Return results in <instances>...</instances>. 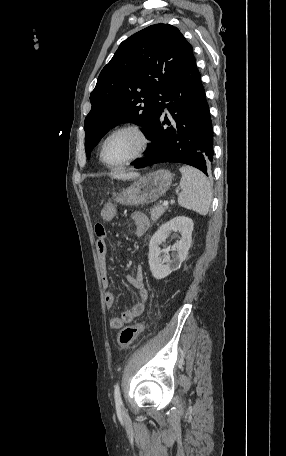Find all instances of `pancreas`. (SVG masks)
<instances>
[{
  "mask_svg": "<svg viewBox=\"0 0 286 456\" xmlns=\"http://www.w3.org/2000/svg\"><path fill=\"white\" fill-rule=\"evenodd\" d=\"M165 209H167V207L161 205L154 206L150 212L151 220L153 222H156L160 218V216L165 212Z\"/></svg>",
  "mask_w": 286,
  "mask_h": 456,
  "instance_id": "1",
  "label": "pancreas"
}]
</instances>
